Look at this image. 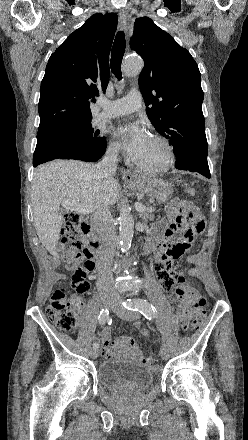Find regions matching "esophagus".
Instances as JSON below:
<instances>
[{"instance_id": "esophagus-1", "label": "esophagus", "mask_w": 248, "mask_h": 440, "mask_svg": "<svg viewBox=\"0 0 248 440\" xmlns=\"http://www.w3.org/2000/svg\"><path fill=\"white\" fill-rule=\"evenodd\" d=\"M119 21H120V28L125 33H127L128 23H129V13L128 11L122 9L119 12ZM122 178L124 180H132L134 178V175L127 169L121 170Z\"/></svg>"}]
</instances>
